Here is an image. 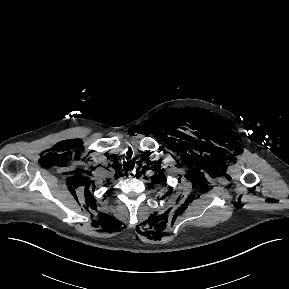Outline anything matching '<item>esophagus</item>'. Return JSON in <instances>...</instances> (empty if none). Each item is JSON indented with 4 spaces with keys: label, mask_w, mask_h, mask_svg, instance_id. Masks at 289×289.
I'll use <instances>...</instances> for the list:
<instances>
[{
    "label": "esophagus",
    "mask_w": 289,
    "mask_h": 289,
    "mask_svg": "<svg viewBox=\"0 0 289 289\" xmlns=\"http://www.w3.org/2000/svg\"><path fill=\"white\" fill-rule=\"evenodd\" d=\"M133 173H134L133 171H132V172L130 171L129 174H128V176H129V177H133Z\"/></svg>",
    "instance_id": "esophagus-1"
}]
</instances>
